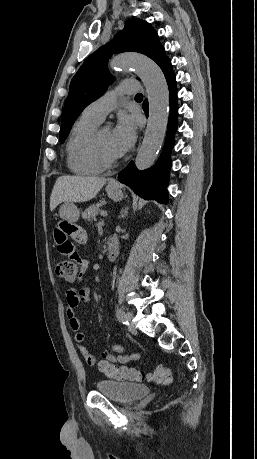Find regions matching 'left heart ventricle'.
Wrapping results in <instances>:
<instances>
[{
	"mask_svg": "<svg viewBox=\"0 0 257 459\" xmlns=\"http://www.w3.org/2000/svg\"><path fill=\"white\" fill-rule=\"evenodd\" d=\"M100 143L103 151L109 157H117V154L113 147L112 130L109 128H103L100 133Z\"/></svg>",
	"mask_w": 257,
	"mask_h": 459,
	"instance_id": "1",
	"label": "left heart ventricle"
}]
</instances>
